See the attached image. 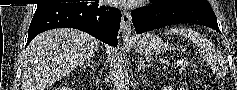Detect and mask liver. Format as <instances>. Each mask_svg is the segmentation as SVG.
I'll use <instances>...</instances> for the list:
<instances>
[{
    "mask_svg": "<svg viewBox=\"0 0 237 90\" xmlns=\"http://www.w3.org/2000/svg\"><path fill=\"white\" fill-rule=\"evenodd\" d=\"M100 46L99 40L73 28H57L36 36L30 42L23 68L26 78L23 90H48L57 80L93 58ZM108 60L113 50L105 46Z\"/></svg>",
    "mask_w": 237,
    "mask_h": 90,
    "instance_id": "6515ba94",
    "label": "liver"
}]
</instances>
